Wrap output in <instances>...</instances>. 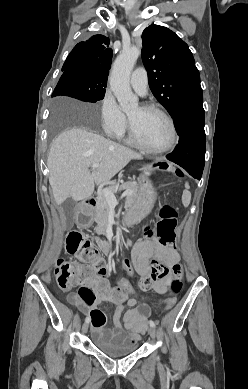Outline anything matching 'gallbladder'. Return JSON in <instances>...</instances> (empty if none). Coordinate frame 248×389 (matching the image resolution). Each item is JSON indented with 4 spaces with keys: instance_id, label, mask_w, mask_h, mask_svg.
Listing matches in <instances>:
<instances>
[{
    "instance_id": "obj_1",
    "label": "gallbladder",
    "mask_w": 248,
    "mask_h": 389,
    "mask_svg": "<svg viewBox=\"0 0 248 389\" xmlns=\"http://www.w3.org/2000/svg\"><path fill=\"white\" fill-rule=\"evenodd\" d=\"M74 205H75L74 200L70 199V200L66 201V203H65V210H66L67 214H72L73 213Z\"/></svg>"
}]
</instances>
